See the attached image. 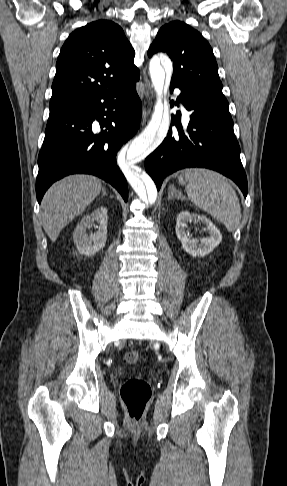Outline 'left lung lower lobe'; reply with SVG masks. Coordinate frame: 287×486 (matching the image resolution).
<instances>
[{
  "label": "left lung lower lobe",
  "instance_id": "left-lung-lower-lobe-1",
  "mask_svg": "<svg viewBox=\"0 0 287 486\" xmlns=\"http://www.w3.org/2000/svg\"><path fill=\"white\" fill-rule=\"evenodd\" d=\"M179 88L176 104L182 102L191 111L187 131L180 123L181 112L173 115L167 137L145 160V168L159 190L163 179L189 167H205L231 178L247 195V178L240 160V147L233 131L231 117L212 109L189 87L171 83V91ZM172 125L177 130H172Z\"/></svg>",
  "mask_w": 287,
  "mask_h": 486
}]
</instances>
